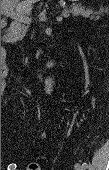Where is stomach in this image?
<instances>
[{
	"label": "stomach",
	"mask_w": 109,
	"mask_h": 170,
	"mask_svg": "<svg viewBox=\"0 0 109 170\" xmlns=\"http://www.w3.org/2000/svg\"><path fill=\"white\" fill-rule=\"evenodd\" d=\"M70 1H72V2H77V1H79V0H70Z\"/></svg>",
	"instance_id": "1"
}]
</instances>
